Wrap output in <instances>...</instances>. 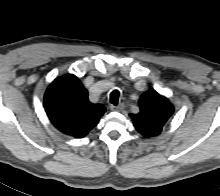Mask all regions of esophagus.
I'll use <instances>...</instances> for the list:
<instances>
[{
    "mask_svg": "<svg viewBox=\"0 0 220 196\" xmlns=\"http://www.w3.org/2000/svg\"><path fill=\"white\" fill-rule=\"evenodd\" d=\"M124 108L123 104H119V105H111L110 109L112 111H122Z\"/></svg>",
    "mask_w": 220,
    "mask_h": 196,
    "instance_id": "obj_1",
    "label": "esophagus"
}]
</instances>
